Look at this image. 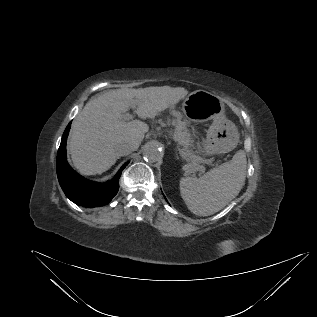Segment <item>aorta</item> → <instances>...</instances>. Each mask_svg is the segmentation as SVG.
<instances>
[{"label": "aorta", "mask_w": 317, "mask_h": 317, "mask_svg": "<svg viewBox=\"0 0 317 317\" xmlns=\"http://www.w3.org/2000/svg\"><path fill=\"white\" fill-rule=\"evenodd\" d=\"M161 156L162 150L156 143L149 142L144 146L143 157L146 161L153 163L158 161Z\"/></svg>", "instance_id": "aorta-1"}]
</instances>
